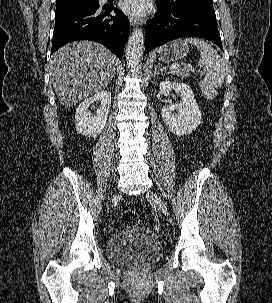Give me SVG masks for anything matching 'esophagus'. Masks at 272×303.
<instances>
[{"label":"esophagus","mask_w":272,"mask_h":303,"mask_svg":"<svg viewBox=\"0 0 272 303\" xmlns=\"http://www.w3.org/2000/svg\"><path fill=\"white\" fill-rule=\"evenodd\" d=\"M129 21H130L131 25H133V26L140 25L144 22L143 19H140L138 17H133V16H129Z\"/></svg>","instance_id":"esophagus-1"}]
</instances>
